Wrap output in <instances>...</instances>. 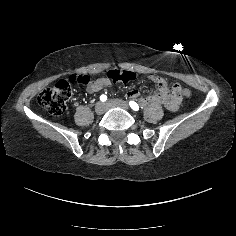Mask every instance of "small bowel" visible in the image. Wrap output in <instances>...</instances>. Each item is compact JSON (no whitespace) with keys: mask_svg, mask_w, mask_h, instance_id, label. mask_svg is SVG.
<instances>
[{"mask_svg":"<svg viewBox=\"0 0 236 236\" xmlns=\"http://www.w3.org/2000/svg\"><path fill=\"white\" fill-rule=\"evenodd\" d=\"M150 79L158 84L159 86H165V81L158 77V76H151ZM110 85V82L105 79V78H100V79H97L95 82H93L89 87H88V91L89 92H97V91H100L102 88L106 87V86H109ZM138 95V91L137 90H131L129 92V96L131 97H136Z\"/></svg>","mask_w":236,"mask_h":236,"instance_id":"obj_1","label":"small bowel"}]
</instances>
